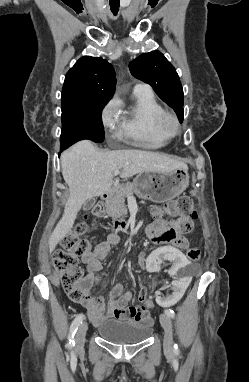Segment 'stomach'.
<instances>
[{
	"label": "stomach",
	"mask_w": 249,
	"mask_h": 382,
	"mask_svg": "<svg viewBox=\"0 0 249 382\" xmlns=\"http://www.w3.org/2000/svg\"><path fill=\"white\" fill-rule=\"evenodd\" d=\"M189 175L185 169L172 172H141L134 179L133 192L140 198L164 203L186 190Z\"/></svg>",
	"instance_id": "obj_1"
}]
</instances>
